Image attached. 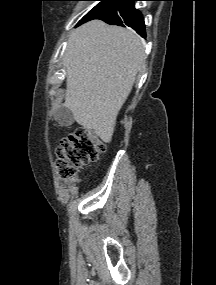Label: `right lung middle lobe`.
Wrapping results in <instances>:
<instances>
[{"label":"right lung middle lobe","mask_w":216,"mask_h":285,"mask_svg":"<svg viewBox=\"0 0 216 285\" xmlns=\"http://www.w3.org/2000/svg\"><path fill=\"white\" fill-rule=\"evenodd\" d=\"M92 1H100V3L97 4L92 10H90L79 23H82L87 19H91L97 15H100L101 13L113 7L120 0H92Z\"/></svg>","instance_id":"1"}]
</instances>
